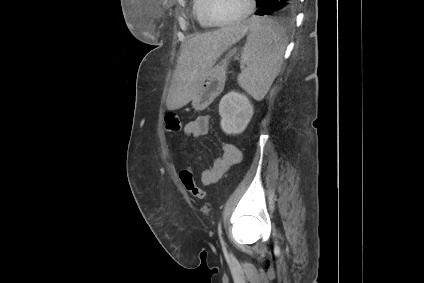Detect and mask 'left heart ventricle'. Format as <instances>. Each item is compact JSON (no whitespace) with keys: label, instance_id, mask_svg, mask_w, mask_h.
I'll use <instances>...</instances> for the list:
<instances>
[{"label":"left heart ventricle","instance_id":"left-heart-ventricle-1","mask_svg":"<svg viewBox=\"0 0 424 283\" xmlns=\"http://www.w3.org/2000/svg\"><path fill=\"white\" fill-rule=\"evenodd\" d=\"M248 7V0H213L212 15L220 21L232 20L242 15Z\"/></svg>","mask_w":424,"mask_h":283}]
</instances>
